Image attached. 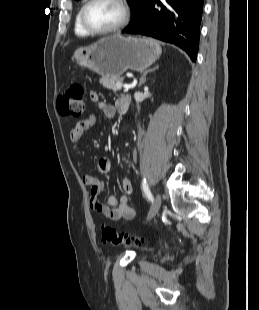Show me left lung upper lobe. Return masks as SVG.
I'll return each mask as SVG.
<instances>
[{
	"instance_id": "obj_1",
	"label": "left lung upper lobe",
	"mask_w": 259,
	"mask_h": 310,
	"mask_svg": "<svg viewBox=\"0 0 259 310\" xmlns=\"http://www.w3.org/2000/svg\"><path fill=\"white\" fill-rule=\"evenodd\" d=\"M132 8V20L131 22L135 21L139 14L140 10L143 7V5L146 3L147 0H127Z\"/></svg>"
}]
</instances>
